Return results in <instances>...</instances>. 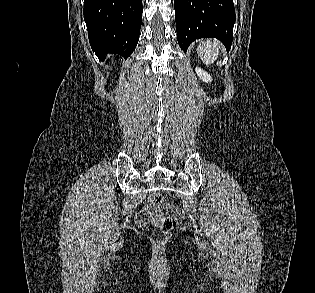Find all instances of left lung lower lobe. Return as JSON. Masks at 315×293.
Masks as SVG:
<instances>
[{"instance_id":"1","label":"left lung lower lobe","mask_w":315,"mask_h":293,"mask_svg":"<svg viewBox=\"0 0 315 293\" xmlns=\"http://www.w3.org/2000/svg\"><path fill=\"white\" fill-rule=\"evenodd\" d=\"M177 40L182 50L196 39H219L227 51L235 23L233 0H174Z\"/></svg>"}]
</instances>
